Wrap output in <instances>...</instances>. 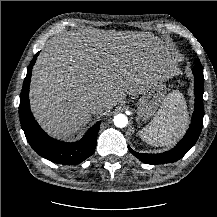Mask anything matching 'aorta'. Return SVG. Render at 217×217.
<instances>
[{
	"label": "aorta",
	"mask_w": 217,
	"mask_h": 217,
	"mask_svg": "<svg viewBox=\"0 0 217 217\" xmlns=\"http://www.w3.org/2000/svg\"><path fill=\"white\" fill-rule=\"evenodd\" d=\"M114 125L118 128H124L127 126L128 124V118L126 115L124 114H117L115 117H114Z\"/></svg>",
	"instance_id": "1"
}]
</instances>
